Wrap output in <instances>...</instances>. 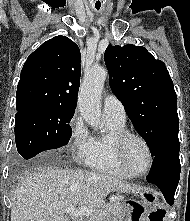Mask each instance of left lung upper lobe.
Here are the masks:
<instances>
[{
    "label": "left lung upper lobe",
    "mask_w": 190,
    "mask_h": 221,
    "mask_svg": "<svg viewBox=\"0 0 190 221\" xmlns=\"http://www.w3.org/2000/svg\"><path fill=\"white\" fill-rule=\"evenodd\" d=\"M110 87L154 156L179 141L177 96L165 64L146 48L109 45L104 55Z\"/></svg>",
    "instance_id": "5c2ea615"
}]
</instances>
